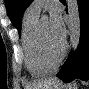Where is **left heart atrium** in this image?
<instances>
[{"mask_svg":"<svg viewBox=\"0 0 89 89\" xmlns=\"http://www.w3.org/2000/svg\"><path fill=\"white\" fill-rule=\"evenodd\" d=\"M49 23L53 37L63 43L66 36V30L63 19L57 11L51 13Z\"/></svg>","mask_w":89,"mask_h":89,"instance_id":"left-heart-atrium-1","label":"left heart atrium"}]
</instances>
